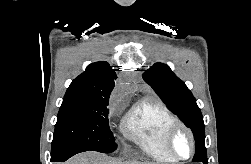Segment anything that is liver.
I'll use <instances>...</instances> for the list:
<instances>
[{
    "label": "liver",
    "mask_w": 251,
    "mask_h": 164,
    "mask_svg": "<svg viewBox=\"0 0 251 164\" xmlns=\"http://www.w3.org/2000/svg\"><path fill=\"white\" fill-rule=\"evenodd\" d=\"M65 164H155V163H141L136 161L122 162L119 159L111 158L98 152H85L74 156Z\"/></svg>",
    "instance_id": "liver-1"
}]
</instances>
